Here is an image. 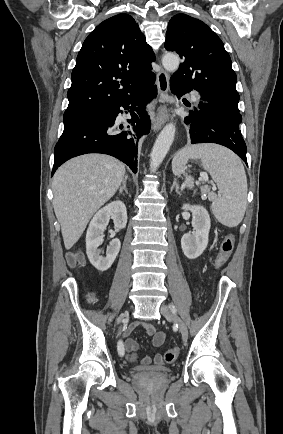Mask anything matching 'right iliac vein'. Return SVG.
Listing matches in <instances>:
<instances>
[{
    "instance_id": "63e3f726",
    "label": "right iliac vein",
    "mask_w": 283,
    "mask_h": 434,
    "mask_svg": "<svg viewBox=\"0 0 283 434\" xmlns=\"http://www.w3.org/2000/svg\"><path fill=\"white\" fill-rule=\"evenodd\" d=\"M128 316V313L127 312H124L122 315H121V319H124V318H126Z\"/></svg>"
}]
</instances>
